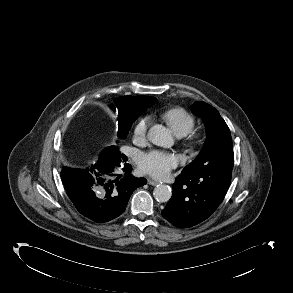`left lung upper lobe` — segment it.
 I'll use <instances>...</instances> for the list:
<instances>
[{
	"label": "left lung upper lobe",
	"instance_id": "obj_1",
	"mask_svg": "<svg viewBox=\"0 0 293 293\" xmlns=\"http://www.w3.org/2000/svg\"><path fill=\"white\" fill-rule=\"evenodd\" d=\"M191 110L204 120L207 141L196 159L186 166L182 172L232 170L234 153L231 134L219 112L203 101L195 102Z\"/></svg>",
	"mask_w": 293,
	"mask_h": 293
}]
</instances>
